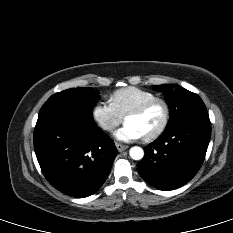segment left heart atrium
Here are the masks:
<instances>
[{
    "mask_svg": "<svg viewBox=\"0 0 233 233\" xmlns=\"http://www.w3.org/2000/svg\"><path fill=\"white\" fill-rule=\"evenodd\" d=\"M116 139L123 142H131L141 139L142 133L132 124L125 123V125L115 132Z\"/></svg>",
    "mask_w": 233,
    "mask_h": 233,
    "instance_id": "39dd6f15",
    "label": "left heart atrium"
}]
</instances>
